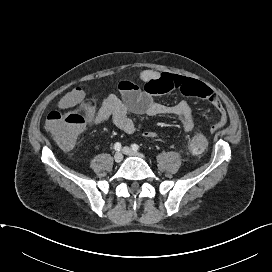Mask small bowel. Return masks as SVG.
<instances>
[{
  "label": "small bowel",
  "mask_w": 272,
  "mask_h": 272,
  "mask_svg": "<svg viewBox=\"0 0 272 272\" xmlns=\"http://www.w3.org/2000/svg\"><path fill=\"white\" fill-rule=\"evenodd\" d=\"M136 82L124 79L118 84L121 97L110 94L97 111L89 115L90 121L102 124L111 120L116 127L127 134L135 131V124L129 114L176 117L185 132L192 131L194 121L190 106L180 102L173 106L161 104L155 95L179 91L186 96L197 97L209 102L218 112L219 121L211 127V131L222 128L227 122V113L218 96L204 83L177 74L143 70L138 74ZM146 138H156L155 132H145Z\"/></svg>",
  "instance_id": "1"
}]
</instances>
